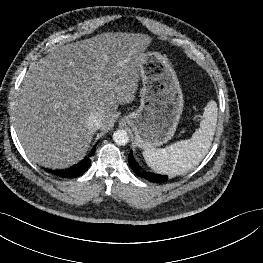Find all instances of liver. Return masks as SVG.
Wrapping results in <instances>:
<instances>
[{"instance_id": "obj_1", "label": "liver", "mask_w": 263, "mask_h": 263, "mask_svg": "<svg viewBox=\"0 0 263 263\" xmlns=\"http://www.w3.org/2000/svg\"><path fill=\"white\" fill-rule=\"evenodd\" d=\"M150 43L143 33L105 32L60 46L33 64L13 111L28 159L52 169L81 161L96 132L87 127L88 116L100 112L101 128L113 127L118 106L135 98Z\"/></svg>"}]
</instances>
